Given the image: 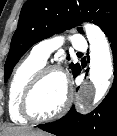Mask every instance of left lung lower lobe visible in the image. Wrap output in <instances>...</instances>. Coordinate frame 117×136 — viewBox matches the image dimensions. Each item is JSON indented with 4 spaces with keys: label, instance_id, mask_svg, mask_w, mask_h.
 Segmentation results:
<instances>
[{
    "label": "left lung lower lobe",
    "instance_id": "left-lung-lower-lobe-1",
    "mask_svg": "<svg viewBox=\"0 0 117 136\" xmlns=\"http://www.w3.org/2000/svg\"><path fill=\"white\" fill-rule=\"evenodd\" d=\"M104 33L111 42L114 62L113 85L102 103L91 113H77L74 106L53 123L38 125L46 132L57 136H117V16L110 22ZM81 71L74 76L79 75Z\"/></svg>",
    "mask_w": 117,
    "mask_h": 136
}]
</instances>
